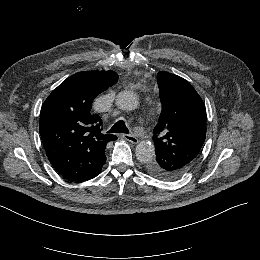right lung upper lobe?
<instances>
[{"label": "right lung upper lobe", "instance_id": "1", "mask_svg": "<svg viewBox=\"0 0 260 260\" xmlns=\"http://www.w3.org/2000/svg\"><path fill=\"white\" fill-rule=\"evenodd\" d=\"M117 80L113 71L79 72L64 80L44 102L40 135L51 164L65 179L83 182L101 172L106 144L117 137L101 133L102 120L93 114L91 105Z\"/></svg>", "mask_w": 260, "mask_h": 260}]
</instances>
